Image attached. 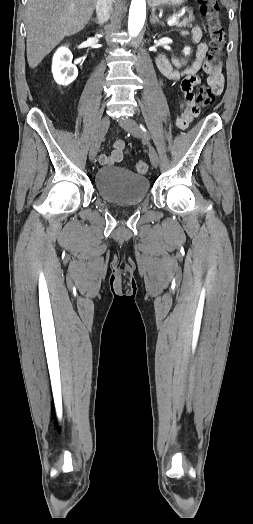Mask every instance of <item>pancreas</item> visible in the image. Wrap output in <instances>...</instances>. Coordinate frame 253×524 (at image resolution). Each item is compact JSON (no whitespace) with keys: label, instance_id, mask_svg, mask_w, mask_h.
<instances>
[{"label":"pancreas","instance_id":"pancreas-1","mask_svg":"<svg viewBox=\"0 0 253 524\" xmlns=\"http://www.w3.org/2000/svg\"><path fill=\"white\" fill-rule=\"evenodd\" d=\"M194 21V15L189 14L188 17H183L180 22H177L176 27H192V22Z\"/></svg>","mask_w":253,"mask_h":524}]
</instances>
